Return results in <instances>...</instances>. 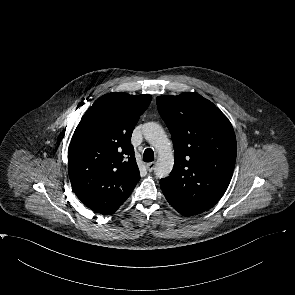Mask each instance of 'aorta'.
I'll return each mask as SVG.
<instances>
[{"mask_svg": "<svg viewBox=\"0 0 295 295\" xmlns=\"http://www.w3.org/2000/svg\"><path fill=\"white\" fill-rule=\"evenodd\" d=\"M144 138L158 152L159 158L154 168L157 178H165L172 171L174 156L172 145L162 126L156 122H148L143 125Z\"/></svg>", "mask_w": 295, "mask_h": 295, "instance_id": "obj_1", "label": "aorta"}]
</instances>
